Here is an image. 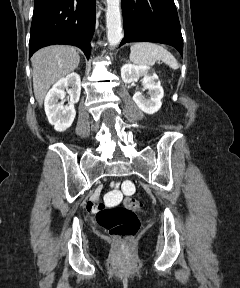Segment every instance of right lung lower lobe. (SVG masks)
I'll use <instances>...</instances> for the list:
<instances>
[{"mask_svg": "<svg viewBox=\"0 0 240 288\" xmlns=\"http://www.w3.org/2000/svg\"><path fill=\"white\" fill-rule=\"evenodd\" d=\"M95 28V0H35L30 32V56L38 49L67 44L90 57Z\"/></svg>", "mask_w": 240, "mask_h": 288, "instance_id": "obj_1", "label": "right lung lower lobe"}]
</instances>
